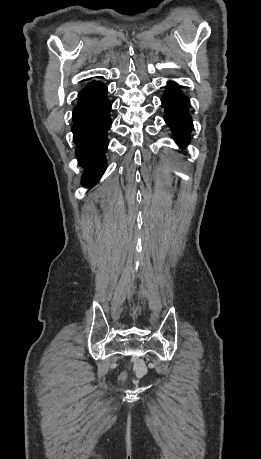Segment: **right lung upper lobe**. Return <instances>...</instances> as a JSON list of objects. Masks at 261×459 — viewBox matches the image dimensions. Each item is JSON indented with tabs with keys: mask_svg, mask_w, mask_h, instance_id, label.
Returning <instances> with one entry per match:
<instances>
[{
	"mask_svg": "<svg viewBox=\"0 0 261 459\" xmlns=\"http://www.w3.org/2000/svg\"><path fill=\"white\" fill-rule=\"evenodd\" d=\"M98 84H99V82H91V83H89L85 88H83V89L81 90V92L79 93V95L82 94L83 92H85L86 90H88V89H90V88H92V87L98 85Z\"/></svg>",
	"mask_w": 261,
	"mask_h": 459,
	"instance_id": "right-lung-upper-lobe-1",
	"label": "right lung upper lobe"
}]
</instances>
